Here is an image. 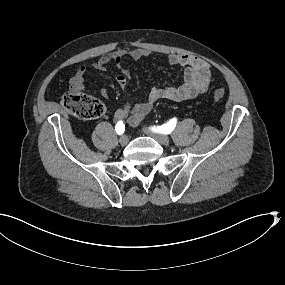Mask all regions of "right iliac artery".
Returning a JSON list of instances; mask_svg holds the SVG:
<instances>
[{
	"mask_svg": "<svg viewBox=\"0 0 285 285\" xmlns=\"http://www.w3.org/2000/svg\"><path fill=\"white\" fill-rule=\"evenodd\" d=\"M115 131L117 134L121 135L122 133H124L125 131V125L123 123V121H119L117 122L116 126H115Z\"/></svg>",
	"mask_w": 285,
	"mask_h": 285,
	"instance_id": "82829eb1",
	"label": "right iliac artery"
}]
</instances>
